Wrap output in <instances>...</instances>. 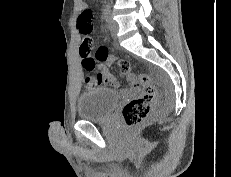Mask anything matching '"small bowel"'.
I'll return each instance as SVG.
<instances>
[{
	"mask_svg": "<svg viewBox=\"0 0 231 177\" xmlns=\"http://www.w3.org/2000/svg\"><path fill=\"white\" fill-rule=\"evenodd\" d=\"M89 8L85 2H81V11ZM110 62H102L99 65V73L97 74V84L109 85L113 88H120V81L113 76L109 71ZM127 81L130 84L132 90H135L137 87V81L134 75L129 74L127 76Z\"/></svg>",
	"mask_w": 231,
	"mask_h": 177,
	"instance_id": "1",
	"label": "small bowel"
}]
</instances>
